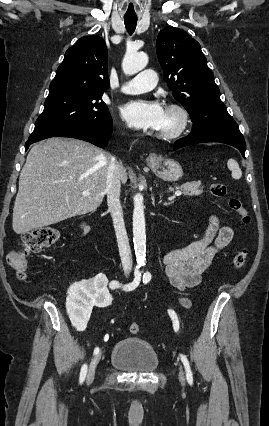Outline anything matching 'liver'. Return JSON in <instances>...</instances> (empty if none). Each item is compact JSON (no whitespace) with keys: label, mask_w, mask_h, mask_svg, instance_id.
Returning <instances> with one entry per match:
<instances>
[{"label":"liver","mask_w":269,"mask_h":426,"mask_svg":"<svg viewBox=\"0 0 269 426\" xmlns=\"http://www.w3.org/2000/svg\"><path fill=\"white\" fill-rule=\"evenodd\" d=\"M111 156L79 139L52 137L34 145L19 177L12 227L16 234L95 211L106 193ZM122 183L127 172L122 165ZM89 190L90 195L82 192Z\"/></svg>","instance_id":"obj_1"}]
</instances>
